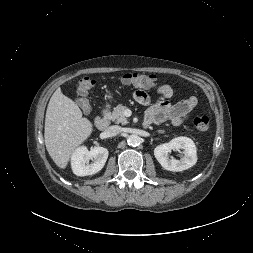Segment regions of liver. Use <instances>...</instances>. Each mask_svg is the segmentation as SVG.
Here are the masks:
<instances>
[{
	"label": "liver",
	"instance_id": "6515ba94",
	"mask_svg": "<svg viewBox=\"0 0 253 253\" xmlns=\"http://www.w3.org/2000/svg\"><path fill=\"white\" fill-rule=\"evenodd\" d=\"M92 123L78 105L57 88L45 117V145L54 163L64 169L75 150L91 135Z\"/></svg>",
	"mask_w": 253,
	"mask_h": 253
}]
</instances>
